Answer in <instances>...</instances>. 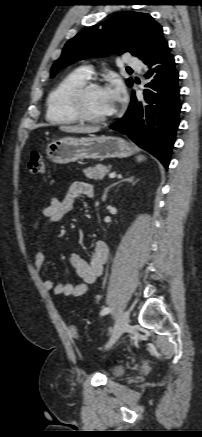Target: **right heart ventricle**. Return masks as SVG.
Returning a JSON list of instances; mask_svg holds the SVG:
<instances>
[{"instance_id":"e07e8e85","label":"right heart ventricle","mask_w":202,"mask_h":437,"mask_svg":"<svg viewBox=\"0 0 202 437\" xmlns=\"http://www.w3.org/2000/svg\"><path fill=\"white\" fill-rule=\"evenodd\" d=\"M89 77L82 69L74 70L63 77L51 90L46 101V118L53 124H74L79 120L71 112L68 104L69 95L79 84Z\"/></svg>"}]
</instances>
